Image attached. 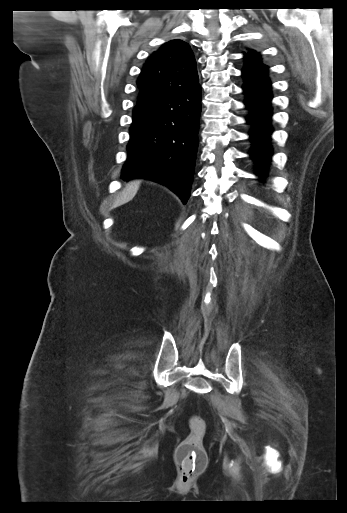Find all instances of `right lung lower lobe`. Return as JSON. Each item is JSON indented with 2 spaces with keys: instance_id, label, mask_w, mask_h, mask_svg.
Returning a JSON list of instances; mask_svg holds the SVG:
<instances>
[{
  "instance_id": "obj_1",
  "label": "right lung lower lobe",
  "mask_w": 347,
  "mask_h": 513,
  "mask_svg": "<svg viewBox=\"0 0 347 513\" xmlns=\"http://www.w3.org/2000/svg\"><path fill=\"white\" fill-rule=\"evenodd\" d=\"M200 113V86L138 102L133 109L123 180L139 177L159 182L185 204L194 174Z\"/></svg>"
}]
</instances>
